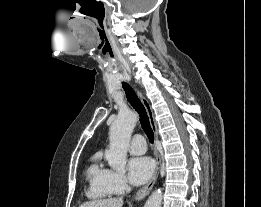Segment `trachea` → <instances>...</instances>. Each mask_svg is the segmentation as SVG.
Listing matches in <instances>:
<instances>
[{"mask_svg": "<svg viewBox=\"0 0 261 207\" xmlns=\"http://www.w3.org/2000/svg\"><path fill=\"white\" fill-rule=\"evenodd\" d=\"M123 88L127 97V100L132 105V107L137 111V113L140 116L141 126L144 132L146 133L150 143L154 142V133L149 123V118L147 115V112L145 110V107L141 103L140 99L136 95L135 91L127 84L122 83Z\"/></svg>", "mask_w": 261, "mask_h": 207, "instance_id": "obj_1", "label": "trachea"}]
</instances>
